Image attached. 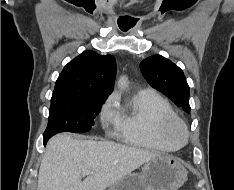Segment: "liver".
I'll list each match as a JSON object with an SVG mask.
<instances>
[{"instance_id": "liver-1", "label": "liver", "mask_w": 234, "mask_h": 190, "mask_svg": "<svg viewBox=\"0 0 234 190\" xmlns=\"http://www.w3.org/2000/svg\"><path fill=\"white\" fill-rule=\"evenodd\" d=\"M157 153L111 141L78 140L67 133L51 138L37 190H105ZM90 174L82 181L83 171Z\"/></svg>"}]
</instances>
